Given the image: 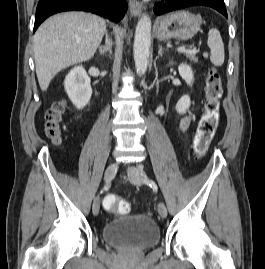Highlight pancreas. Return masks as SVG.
I'll return each mask as SVG.
<instances>
[{
  "mask_svg": "<svg viewBox=\"0 0 265 269\" xmlns=\"http://www.w3.org/2000/svg\"><path fill=\"white\" fill-rule=\"evenodd\" d=\"M186 57H187L190 61H192V62H194V63H197V62H198V57L196 56L195 53H186Z\"/></svg>",
  "mask_w": 265,
  "mask_h": 269,
  "instance_id": "pancreas-1",
  "label": "pancreas"
}]
</instances>
